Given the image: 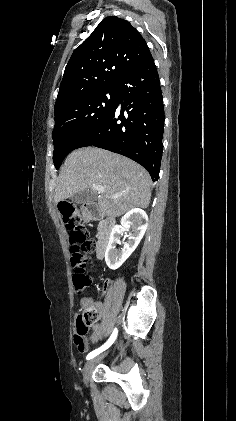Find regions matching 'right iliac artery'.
Returning a JSON list of instances; mask_svg holds the SVG:
<instances>
[{"mask_svg": "<svg viewBox=\"0 0 236 421\" xmlns=\"http://www.w3.org/2000/svg\"><path fill=\"white\" fill-rule=\"evenodd\" d=\"M117 333H118V330H117V328H115L114 331H113V333H112V335L108 339V341L104 345H102L100 348H98V349L90 352L87 355L86 359L87 360H90V359L94 358L95 356H97L98 354H100L101 352H103L106 349H108L113 344V342L115 341V339L117 337Z\"/></svg>", "mask_w": 236, "mask_h": 421, "instance_id": "82829eb1", "label": "right iliac artery"}]
</instances>
